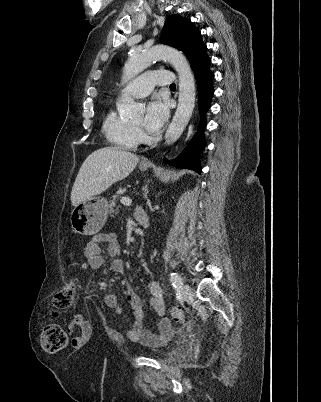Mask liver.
I'll list each match as a JSON object with an SVG mask.
<instances>
[{
  "mask_svg": "<svg viewBox=\"0 0 321 402\" xmlns=\"http://www.w3.org/2000/svg\"><path fill=\"white\" fill-rule=\"evenodd\" d=\"M139 157L118 147H104L91 153L83 162L75 179L71 202L73 206L101 194L115 182L127 177Z\"/></svg>",
  "mask_w": 321,
  "mask_h": 402,
  "instance_id": "liver-1",
  "label": "liver"
}]
</instances>
